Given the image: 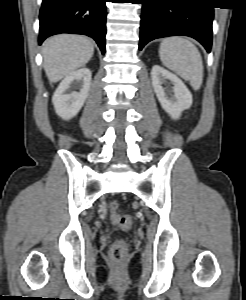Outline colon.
Masks as SVG:
<instances>
[{"label": "colon", "instance_id": "5ec220e1", "mask_svg": "<svg viewBox=\"0 0 246 300\" xmlns=\"http://www.w3.org/2000/svg\"><path fill=\"white\" fill-rule=\"evenodd\" d=\"M117 203L111 202L110 209L113 212L114 222L123 230H128L132 226V219L128 215H118L115 213L117 209ZM128 246L124 241L115 242L110 251V259L115 263H120L127 257Z\"/></svg>", "mask_w": 246, "mask_h": 300}]
</instances>
